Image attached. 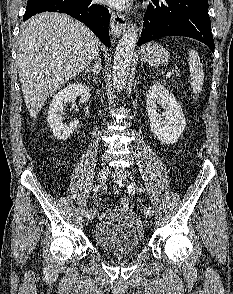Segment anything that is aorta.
I'll return each mask as SVG.
<instances>
[{"label": "aorta", "mask_w": 233, "mask_h": 294, "mask_svg": "<svg viewBox=\"0 0 233 294\" xmlns=\"http://www.w3.org/2000/svg\"><path fill=\"white\" fill-rule=\"evenodd\" d=\"M138 37V28L132 24L121 37L113 61V85L116 89L122 88L129 76L130 64Z\"/></svg>", "instance_id": "762f6f07"}]
</instances>
